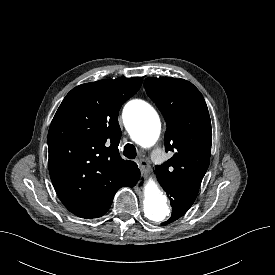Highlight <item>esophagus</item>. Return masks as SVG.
I'll list each match as a JSON object with an SVG mask.
<instances>
[{
    "mask_svg": "<svg viewBox=\"0 0 275 275\" xmlns=\"http://www.w3.org/2000/svg\"><path fill=\"white\" fill-rule=\"evenodd\" d=\"M138 166L146 173L148 174L150 172V167L148 162L145 159H138L136 160Z\"/></svg>",
    "mask_w": 275,
    "mask_h": 275,
    "instance_id": "obj_1",
    "label": "esophagus"
}]
</instances>
